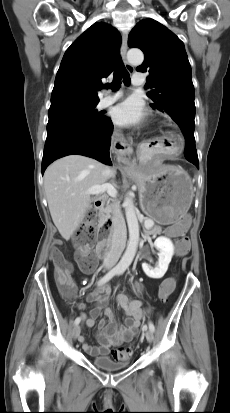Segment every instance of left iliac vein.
<instances>
[{"mask_svg":"<svg viewBox=\"0 0 230 413\" xmlns=\"http://www.w3.org/2000/svg\"><path fill=\"white\" fill-rule=\"evenodd\" d=\"M145 336H146V339L149 343H151L154 339L153 331H151L150 329L146 330Z\"/></svg>","mask_w":230,"mask_h":413,"instance_id":"1","label":"left iliac vein"}]
</instances>
